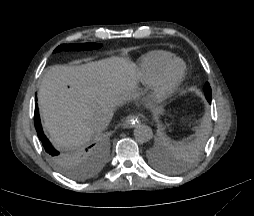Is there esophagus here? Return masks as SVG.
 <instances>
[{"mask_svg":"<svg viewBox=\"0 0 254 216\" xmlns=\"http://www.w3.org/2000/svg\"><path fill=\"white\" fill-rule=\"evenodd\" d=\"M141 123V120L136 115H129L127 116L122 122L121 127L124 129H129L134 127L135 125Z\"/></svg>","mask_w":254,"mask_h":216,"instance_id":"esophagus-1","label":"esophagus"}]
</instances>
